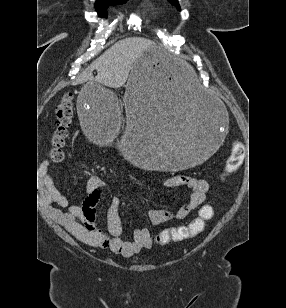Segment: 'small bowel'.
<instances>
[{"mask_svg":"<svg viewBox=\"0 0 286 308\" xmlns=\"http://www.w3.org/2000/svg\"><path fill=\"white\" fill-rule=\"evenodd\" d=\"M49 164L44 162L40 169L47 188L50 215L61 222L74 236L92 246L110 249L113 253L131 257L143 249L152 248V236L147 228H136L133 240L121 238L123 232L119 214L120 199L113 197L107 210V231L95 227L96 207L106 191L105 182L98 176H91L85 185V194L79 204L69 205L67 196L56 185L48 171ZM168 188L187 187L191 193L186 202L176 211L153 209L148 213L152 225H160L169 220H183L198 208L206 198L209 185L206 180L187 175H176L165 182ZM62 209H66L63 211Z\"/></svg>","mask_w":286,"mask_h":308,"instance_id":"small-bowel-1","label":"small bowel"}]
</instances>
